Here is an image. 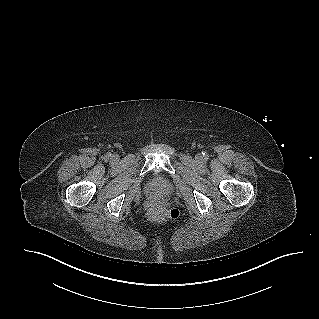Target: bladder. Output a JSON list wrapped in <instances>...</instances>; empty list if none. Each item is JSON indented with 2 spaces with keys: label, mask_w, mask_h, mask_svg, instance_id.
Segmentation results:
<instances>
[{
  "label": "bladder",
  "mask_w": 319,
  "mask_h": 319,
  "mask_svg": "<svg viewBox=\"0 0 319 319\" xmlns=\"http://www.w3.org/2000/svg\"><path fill=\"white\" fill-rule=\"evenodd\" d=\"M171 190V183L164 177H155L148 182L147 192L150 196L167 194Z\"/></svg>",
  "instance_id": "obj_1"
}]
</instances>
